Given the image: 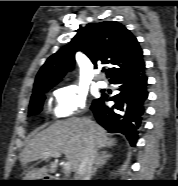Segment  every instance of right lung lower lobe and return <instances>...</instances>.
<instances>
[{
    "label": "right lung lower lobe",
    "instance_id": "98d812e1",
    "mask_svg": "<svg viewBox=\"0 0 178 186\" xmlns=\"http://www.w3.org/2000/svg\"><path fill=\"white\" fill-rule=\"evenodd\" d=\"M109 81L118 85L119 93L110 99L105 95L101 96L94 100L90 109L100 125L110 133L118 132L125 135L134 146L148 97L145 62L127 67ZM109 100L115 102L111 108L106 106Z\"/></svg>",
    "mask_w": 178,
    "mask_h": 186
}]
</instances>
